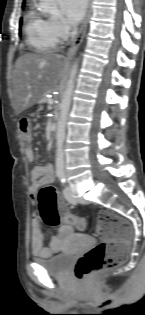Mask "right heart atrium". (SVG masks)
I'll return each instance as SVG.
<instances>
[{"label":"right heart atrium","instance_id":"obj_1","mask_svg":"<svg viewBox=\"0 0 145 315\" xmlns=\"http://www.w3.org/2000/svg\"><path fill=\"white\" fill-rule=\"evenodd\" d=\"M49 24L57 39H65L71 34L70 26L60 17L49 18Z\"/></svg>","mask_w":145,"mask_h":315}]
</instances>
